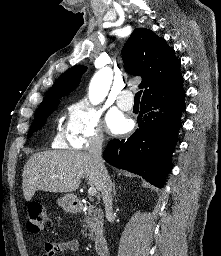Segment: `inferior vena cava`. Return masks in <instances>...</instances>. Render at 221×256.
<instances>
[{
  "mask_svg": "<svg viewBox=\"0 0 221 256\" xmlns=\"http://www.w3.org/2000/svg\"><path fill=\"white\" fill-rule=\"evenodd\" d=\"M102 144L103 136L97 135L92 138L88 150L100 171V191L102 193L103 202L105 204L106 217L109 218L112 216L113 211L112 182L102 159Z\"/></svg>",
  "mask_w": 221,
  "mask_h": 256,
  "instance_id": "obj_1",
  "label": "inferior vena cava"
}]
</instances>
